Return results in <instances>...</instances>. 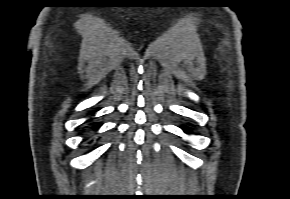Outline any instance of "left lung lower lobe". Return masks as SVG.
I'll return each mask as SVG.
<instances>
[{
  "label": "left lung lower lobe",
  "instance_id": "left-lung-lower-lobe-1",
  "mask_svg": "<svg viewBox=\"0 0 290 199\" xmlns=\"http://www.w3.org/2000/svg\"><path fill=\"white\" fill-rule=\"evenodd\" d=\"M184 131H185V132H187V133H189V132H190V130H189V129H187V128H185V129H184Z\"/></svg>",
  "mask_w": 290,
  "mask_h": 199
}]
</instances>
